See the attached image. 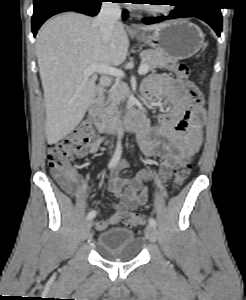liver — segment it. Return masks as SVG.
<instances>
[{
	"mask_svg": "<svg viewBox=\"0 0 246 300\" xmlns=\"http://www.w3.org/2000/svg\"><path fill=\"white\" fill-rule=\"evenodd\" d=\"M164 23L141 26L144 31ZM129 49L123 25L115 24L109 43L103 42L99 26L85 15L66 12L47 21L39 30L36 56L46 107L49 145L71 133L83 119L94 90L96 74L84 76L90 65L118 66Z\"/></svg>",
	"mask_w": 246,
	"mask_h": 300,
	"instance_id": "6515ba94",
	"label": "liver"
}]
</instances>
